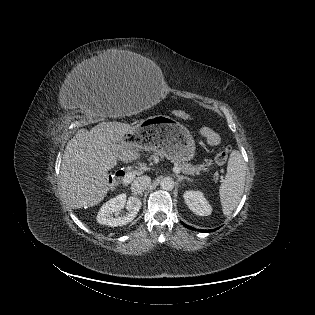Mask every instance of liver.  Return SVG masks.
<instances>
[{"mask_svg":"<svg viewBox=\"0 0 315 315\" xmlns=\"http://www.w3.org/2000/svg\"><path fill=\"white\" fill-rule=\"evenodd\" d=\"M100 62L113 70L120 63L106 62L105 57ZM134 127L117 121L101 122L89 131L79 129L68 141L61 162L60 183L71 208L100 203L110 187L107 173L117 165V160L128 163L139 159L138 147L124 140Z\"/></svg>","mask_w":315,"mask_h":315,"instance_id":"6515ba94","label":"liver"}]
</instances>
